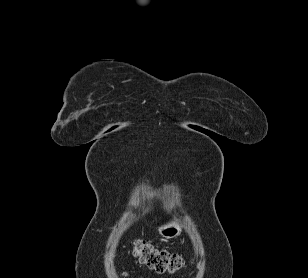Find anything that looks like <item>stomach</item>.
<instances>
[{
	"label": "stomach",
	"mask_w": 308,
	"mask_h": 278,
	"mask_svg": "<svg viewBox=\"0 0 308 278\" xmlns=\"http://www.w3.org/2000/svg\"><path fill=\"white\" fill-rule=\"evenodd\" d=\"M182 229L183 225L177 219H174L168 223L160 225L158 227V232L162 237L172 239L180 235Z\"/></svg>",
	"instance_id": "obj_1"
}]
</instances>
